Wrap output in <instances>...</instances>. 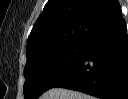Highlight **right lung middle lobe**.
I'll return each mask as SVG.
<instances>
[{
    "mask_svg": "<svg viewBox=\"0 0 128 99\" xmlns=\"http://www.w3.org/2000/svg\"><path fill=\"white\" fill-rule=\"evenodd\" d=\"M84 42L62 45L27 59L24 75L25 99H34L52 88L77 64Z\"/></svg>",
    "mask_w": 128,
    "mask_h": 99,
    "instance_id": "right-lung-middle-lobe-1",
    "label": "right lung middle lobe"
}]
</instances>
